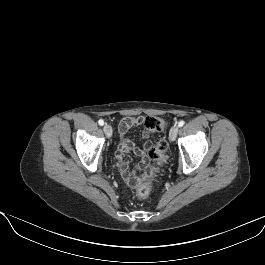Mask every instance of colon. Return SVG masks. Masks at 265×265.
Instances as JSON below:
<instances>
[{
	"instance_id": "5ec220e1",
	"label": "colon",
	"mask_w": 265,
	"mask_h": 265,
	"mask_svg": "<svg viewBox=\"0 0 265 265\" xmlns=\"http://www.w3.org/2000/svg\"><path fill=\"white\" fill-rule=\"evenodd\" d=\"M144 127L151 133H160L166 129V123L163 119L158 117H145L142 120ZM169 144L164 138H159L156 143L151 146L148 150V158L156 162H163L168 157ZM133 185L139 187V195L145 197L150 191L148 184L138 185L136 182Z\"/></svg>"
}]
</instances>
